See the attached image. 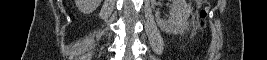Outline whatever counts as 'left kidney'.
I'll return each mask as SVG.
<instances>
[{"instance_id": "left-kidney-1", "label": "left kidney", "mask_w": 267, "mask_h": 60, "mask_svg": "<svg viewBox=\"0 0 267 60\" xmlns=\"http://www.w3.org/2000/svg\"><path fill=\"white\" fill-rule=\"evenodd\" d=\"M191 6L186 0H172L170 17L162 19L159 13L155 15L159 28L169 34H176L182 31L190 17Z\"/></svg>"}]
</instances>
